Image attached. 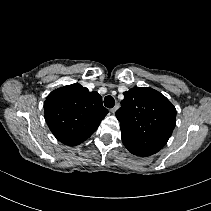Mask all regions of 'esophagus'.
<instances>
[{
	"mask_svg": "<svg viewBox=\"0 0 211 211\" xmlns=\"http://www.w3.org/2000/svg\"><path fill=\"white\" fill-rule=\"evenodd\" d=\"M118 109V105H116L115 107H113L110 111L115 114V112L117 111Z\"/></svg>",
	"mask_w": 211,
	"mask_h": 211,
	"instance_id": "esophagus-1",
	"label": "esophagus"
}]
</instances>
